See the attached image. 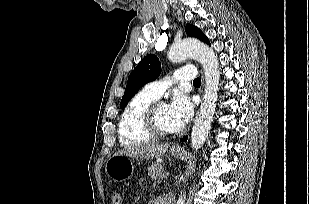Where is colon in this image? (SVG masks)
<instances>
[{
  "instance_id": "1",
  "label": "colon",
  "mask_w": 309,
  "mask_h": 204,
  "mask_svg": "<svg viewBox=\"0 0 309 204\" xmlns=\"http://www.w3.org/2000/svg\"><path fill=\"white\" fill-rule=\"evenodd\" d=\"M111 199L113 204H122V193L119 191H113Z\"/></svg>"
}]
</instances>
